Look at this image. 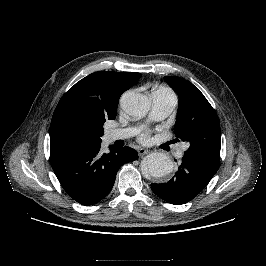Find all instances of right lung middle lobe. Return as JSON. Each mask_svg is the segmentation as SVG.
Returning <instances> with one entry per match:
<instances>
[{"mask_svg":"<svg viewBox=\"0 0 266 266\" xmlns=\"http://www.w3.org/2000/svg\"><path fill=\"white\" fill-rule=\"evenodd\" d=\"M103 124L104 122H101L100 124V128H99V132H98V136L96 138H92L90 140H88L86 143H97V142H101L100 137L103 135Z\"/></svg>","mask_w":266,"mask_h":266,"instance_id":"dd1d6c3e","label":"right lung middle lobe"}]
</instances>
